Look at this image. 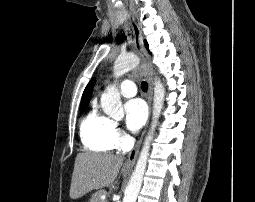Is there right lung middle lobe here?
<instances>
[{
	"label": "right lung middle lobe",
	"mask_w": 255,
	"mask_h": 202,
	"mask_svg": "<svg viewBox=\"0 0 255 202\" xmlns=\"http://www.w3.org/2000/svg\"><path fill=\"white\" fill-rule=\"evenodd\" d=\"M86 106H87V105H81V106H80V111H81V112L84 111V109L86 108Z\"/></svg>",
	"instance_id": "dd1d6c3e"
}]
</instances>
